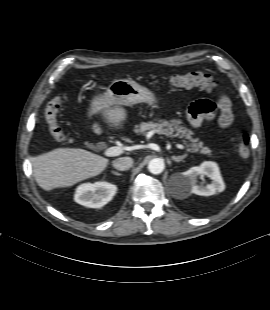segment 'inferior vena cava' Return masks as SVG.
I'll return each mask as SVG.
<instances>
[{
  "label": "inferior vena cava",
  "instance_id": "1",
  "mask_svg": "<svg viewBox=\"0 0 270 310\" xmlns=\"http://www.w3.org/2000/svg\"><path fill=\"white\" fill-rule=\"evenodd\" d=\"M133 165V159L130 157H121L113 161V167L120 171L128 170Z\"/></svg>",
  "mask_w": 270,
  "mask_h": 310
}]
</instances>
